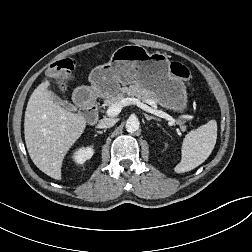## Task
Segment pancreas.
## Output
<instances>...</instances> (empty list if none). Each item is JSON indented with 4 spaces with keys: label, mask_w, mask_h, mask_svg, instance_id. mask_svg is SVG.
Segmentation results:
<instances>
[{
    "label": "pancreas",
    "mask_w": 252,
    "mask_h": 252,
    "mask_svg": "<svg viewBox=\"0 0 252 252\" xmlns=\"http://www.w3.org/2000/svg\"><path fill=\"white\" fill-rule=\"evenodd\" d=\"M127 96L136 97L138 100L142 102H153L154 104L157 103L153 92L143 89L138 85H132L129 87H124L121 89L120 93L108 97L104 101V106H111L112 104L118 103Z\"/></svg>",
    "instance_id": "obj_1"
}]
</instances>
